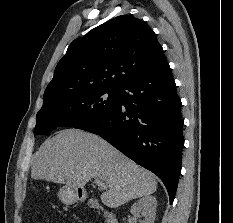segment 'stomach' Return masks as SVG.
Returning <instances> with one entry per match:
<instances>
[{"mask_svg":"<svg viewBox=\"0 0 233 223\" xmlns=\"http://www.w3.org/2000/svg\"><path fill=\"white\" fill-rule=\"evenodd\" d=\"M78 189H82V187H70V185H63V187L59 189L57 195L62 203L72 205V203H76L80 197V195H78ZM82 191V197H85L86 193L84 189H82Z\"/></svg>","mask_w":233,"mask_h":223,"instance_id":"1","label":"stomach"}]
</instances>
